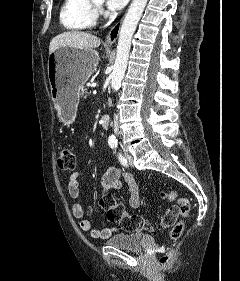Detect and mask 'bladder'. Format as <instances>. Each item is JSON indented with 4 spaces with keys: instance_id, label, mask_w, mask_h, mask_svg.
<instances>
[{
    "instance_id": "obj_1",
    "label": "bladder",
    "mask_w": 240,
    "mask_h": 281,
    "mask_svg": "<svg viewBox=\"0 0 240 281\" xmlns=\"http://www.w3.org/2000/svg\"><path fill=\"white\" fill-rule=\"evenodd\" d=\"M107 245L127 251H140L145 244V235L139 232L117 233L110 237Z\"/></svg>"
}]
</instances>
